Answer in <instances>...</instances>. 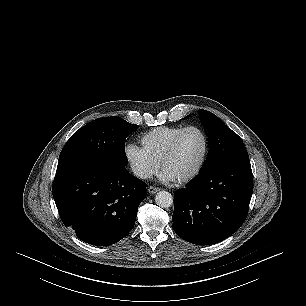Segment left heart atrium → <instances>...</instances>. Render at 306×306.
<instances>
[{
  "label": "left heart atrium",
  "mask_w": 306,
  "mask_h": 306,
  "mask_svg": "<svg viewBox=\"0 0 306 306\" xmlns=\"http://www.w3.org/2000/svg\"><path fill=\"white\" fill-rule=\"evenodd\" d=\"M160 179L164 182H170V181H174L175 179L169 174L167 173L165 170L162 172Z\"/></svg>",
  "instance_id": "39dd6f15"
}]
</instances>
